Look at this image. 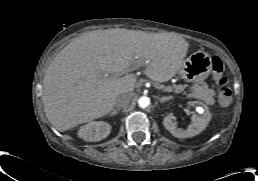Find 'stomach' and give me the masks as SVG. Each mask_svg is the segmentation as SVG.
I'll list each match as a JSON object with an SVG mask.
<instances>
[{"instance_id": "1", "label": "stomach", "mask_w": 258, "mask_h": 181, "mask_svg": "<svg viewBox=\"0 0 258 181\" xmlns=\"http://www.w3.org/2000/svg\"><path fill=\"white\" fill-rule=\"evenodd\" d=\"M211 67V56L206 52L196 51L183 61L179 74L187 82H197L209 76Z\"/></svg>"}]
</instances>
